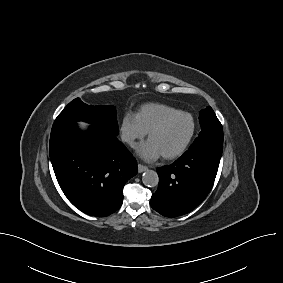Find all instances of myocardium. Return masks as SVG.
<instances>
[{
	"label": "myocardium",
	"mask_w": 283,
	"mask_h": 283,
	"mask_svg": "<svg viewBox=\"0 0 283 283\" xmlns=\"http://www.w3.org/2000/svg\"><path fill=\"white\" fill-rule=\"evenodd\" d=\"M184 115L190 118L191 120V131L185 142L178 148L176 151L164 154L162 157L166 160H172L175 158L180 157L184 152L188 149L189 145L191 144L195 132H196V121L193 115L187 111L177 110L172 113H169L165 115L163 118H161L149 131H148V138H150L154 133L161 130L172 118L176 116Z\"/></svg>",
	"instance_id": "f54148a6"
}]
</instances>
